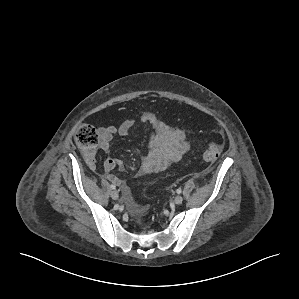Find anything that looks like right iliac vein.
<instances>
[{"label": "right iliac vein", "instance_id": "obj_1", "mask_svg": "<svg viewBox=\"0 0 299 299\" xmlns=\"http://www.w3.org/2000/svg\"><path fill=\"white\" fill-rule=\"evenodd\" d=\"M110 196H111V198L114 199V200H117L118 197H119L117 191H111V192H110Z\"/></svg>", "mask_w": 299, "mask_h": 299}]
</instances>
